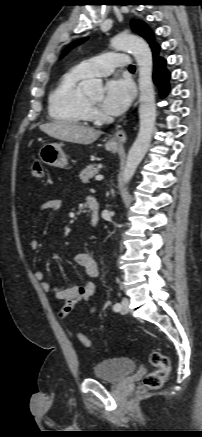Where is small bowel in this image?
<instances>
[{
    "mask_svg": "<svg viewBox=\"0 0 202 437\" xmlns=\"http://www.w3.org/2000/svg\"><path fill=\"white\" fill-rule=\"evenodd\" d=\"M62 208L61 200H48L41 205L42 211L52 210L58 211ZM32 250L39 248V242L33 238L30 242ZM75 263L82 268L85 276L89 279H94L99 274L97 261L88 253H78L74 257ZM34 277L41 283L42 289L47 293H53L56 300L63 302L59 314L61 318H66L74 309L75 305L80 301H89L94 295L96 286L92 280H88L83 285H74L70 287L58 286L54 287L49 282L44 280V273L36 271ZM96 311V305L92 306L91 313Z\"/></svg>",
    "mask_w": 202,
    "mask_h": 437,
    "instance_id": "1",
    "label": "small bowel"
}]
</instances>
